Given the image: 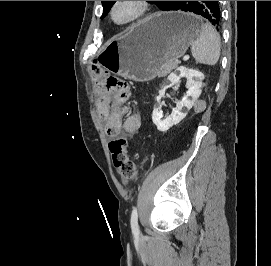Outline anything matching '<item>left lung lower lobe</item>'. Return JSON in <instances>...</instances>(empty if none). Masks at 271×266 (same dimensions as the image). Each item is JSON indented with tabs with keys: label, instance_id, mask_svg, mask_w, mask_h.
<instances>
[{
	"label": "left lung lower lobe",
	"instance_id": "0a47b994",
	"mask_svg": "<svg viewBox=\"0 0 271 266\" xmlns=\"http://www.w3.org/2000/svg\"><path fill=\"white\" fill-rule=\"evenodd\" d=\"M163 10H182L193 12L206 18L216 28H219L221 23L218 1H171Z\"/></svg>",
	"mask_w": 271,
	"mask_h": 266
}]
</instances>
